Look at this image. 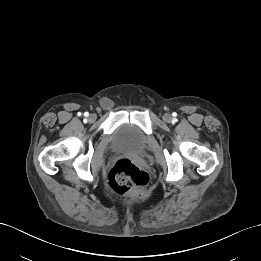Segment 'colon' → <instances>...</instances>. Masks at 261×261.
Segmentation results:
<instances>
[{"label":"colon","mask_w":261,"mask_h":261,"mask_svg":"<svg viewBox=\"0 0 261 261\" xmlns=\"http://www.w3.org/2000/svg\"><path fill=\"white\" fill-rule=\"evenodd\" d=\"M110 187L117 193L140 198L149 183L148 174L128 158L117 160L109 172Z\"/></svg>","instance_id":"1"}]
</instances>
